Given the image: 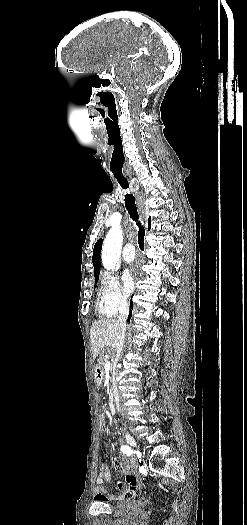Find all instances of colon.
<instances>
[{
    "mask_svg": "<svg viewBox=\"0 0 247 525\" xmlns=\"http://www.w3.org/2000/svg\"><path fill=\"white\" fill-rule=\"evenodd\" d=\"M97 424H98V426L100 427V430H101L102 432H105V431L107 430V427H106V426H107V424H108V421H107L106 418H104V417L99 418L98 421H97Z\"/></svg>",
    "mask_w": 247,
    "mask_h": 525,
    "instance_id": "obj_1",
    "label": "colon"
}]
</instances>
